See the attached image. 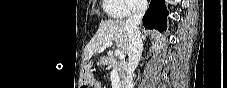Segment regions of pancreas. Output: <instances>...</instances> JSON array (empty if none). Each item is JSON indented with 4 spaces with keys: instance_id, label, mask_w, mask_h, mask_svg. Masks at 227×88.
Masks as SVG:
<instances>
[{
    "instance_id": "pancreas-1",
    "label": "pancreas",
    "mask_w": 227,
    "mask_h": 88,
    "mask_svg": "<svg viewBox=\"0 0 227 88\" xmlns=\"http://www.w3.org/2000/svg\"><path fill=\"white\" fill-rule=\"evenodd\" d=\"M106 65L110 69H115L117 71L119 78L122 81V85H123L124 81L126 79V70H127L126 64L123 63L122 61H119L118 59L110 56L107 58Z\"/></svg>"
}]
</instances>
